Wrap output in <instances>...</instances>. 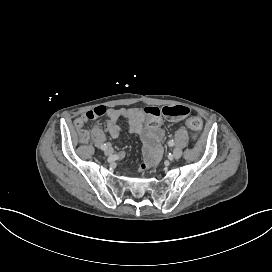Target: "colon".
Here are the masks:
<instances>
[{
    "mask_svg": "<svg viewBox=\"0 0 272 272\" xmlns=\"http://www.w3.org/2000/svg\"><path fill=\"white\" fill-rule=\"evenodd\" d=\"M107 113V107L104 105H98L91 109H89L85 115L84 118L87 120H93L99 117L105 116ZM189 113V109L187 106L178 104V105H166V106H151L146 110V114L149 117H159L164 116L169 119H183L186 118ZM76 126L80 128V134H81V141H86L88 138V133L86 131L82 130V121L78 120L76 122ZM201 126V121L197 117H192L188 121V127L193 130L197 131L199 130Z\"/></svg>",
    "mask_w": 272,
    "mask_h": 272,
    "instance_id": "1",
    "label": "colon"
}]
</instances>
